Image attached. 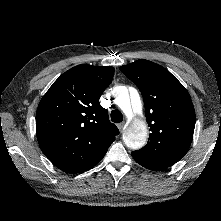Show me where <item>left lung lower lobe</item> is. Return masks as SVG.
Masks as SVG:
<instances>
[{"instance_id": "0a47b994", "label": "left lung lower lobe", "mask_w": 221, "mask_h": 221, "mask_svg": "<svg viewBox=\"0 0 221 221\" xmlns=\"http://www.w3.org/2000/svg\"><path fill=\"white\" fill-rule=\"evenodd\" d=\"M131 155L133 156L134 160L138 164H140L143 167L148 168L150 170H164V169L168 168V166H166V165H163L161 163H157V162H154V161H150V160H147V159L140 158V157L134 155L133 153H131Z\"/></svg>"}]
</instances>
